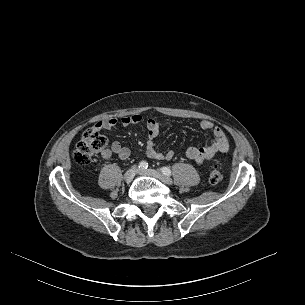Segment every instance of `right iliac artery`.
Listing matches in <instances>:
<instances>
[{
    "label": "right iliac artery",
    "mask_w": 305,
    "mask_h": 305,
    "mask_svg": "<svg viewBox=\"0 0 305 305\" xmlns=\"http://www.w3.org/2000/svg\"><path fill=\"white\" fill-rule=\"evenodd\" d=\"M140 169H147L148 168V163L146 161H141L139 163V166H138Z\"/></svg>",
    "instance_id": "right-iliac-artery-1"
}]
</instances>
